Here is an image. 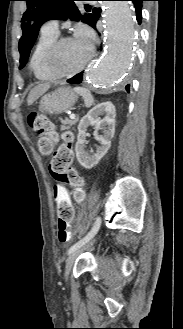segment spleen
Listing matches in <instances>:
<instances>
[{
	"label": "spleen",
	"mask_w": 183,
	"mask_h": 329,
	"mask_svg": "<svg viewBox=\"0 0 183 329\" xmlns=\"http://www.w3.org/2000/svg\"><path fill=\"white\" fill-rule=\"evenodd\" d=\"M74 91L83 97L86 107H91L93 105L94 98L88 89L75 87Z\"/></svg>",
	"instance_id": "obj_1"
}]
</instances>
